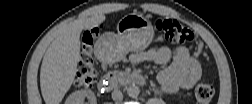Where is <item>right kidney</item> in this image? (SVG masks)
<instances>
[{
	"label": "right kidney",
	"mask_w": 252,
	"mask_h": 104,
	"mask_svg": "<svg viewBox=\"0 0 252 104\" xmlns=\"http://www.w3.org/2000/svg\"><path fill=\"white\" fill-rule=\"evenodd\" d=\"M85 97L95 100L93 92L87 90L75 91L66 99V104H82Z\"/></svg>",
	"instance_id": "obj_1"
}]
</instances>
